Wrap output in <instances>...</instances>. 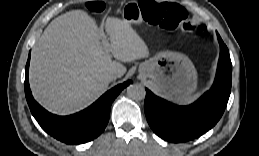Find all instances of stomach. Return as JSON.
Returning <instances> with one entry per match:
<instances>
[{
  "instance_id": "obj_1",
  "label": "stomach",
  "mask_w": 259,
  "mask_h": 156,
  "mask_svg": "<svg viewBox=\"0 0 259 156\" xmlns=\"http://www.w3.org/2000/svg\"><path fill=\"white\" fill-rule=\"evenodd\" d=\"M132 8L130 4L124 7L123 20L137 23L140 16ZM141 72L157 92L173 102L188 97L197 87V72L193 63L186 55L177 52L157 53L144 63Z\"/></svg>"
}]
</instances>
